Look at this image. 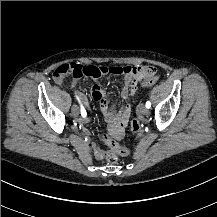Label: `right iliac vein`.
<instances>
[{"label": "right iliac vein", "instance_id": "right-iliac-vein-1", "mask_svg": "<svg viewBox=\"0 0 217 217\" xmlns=\"http://www.w3.org/2000/svg\"><path fill=\"white\" fill-rule=\"evenodd\" d=\"M71 112H72L73 116H75V117L78 116V114H79V107L76 104H74L72 106V108H71Z\"/></svg>", "mask_w": 217, "mask_h": 217}]
</instances>
